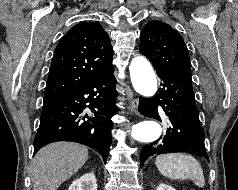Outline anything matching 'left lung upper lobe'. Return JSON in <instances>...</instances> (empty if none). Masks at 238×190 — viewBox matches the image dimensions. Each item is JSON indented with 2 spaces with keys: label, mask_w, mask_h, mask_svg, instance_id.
<instances>
[{
  "label": "left lung upper lobe",
  "mask_w": 238,
  "mask_h": 190,
  "mask_svg": "<svg viewBox=\"0 0 238 190\" xmlns=\"http://www.w3.org/2000/svg\"><path fill=\"white\" fill-rule=\"evenodd\" d=\"M140 52L155 69L191 77L188 49L181 35L164 22L150 21L146 24L140 34Z\"/></svg>",
  "instance_id": "left-lung-upper-lobe-1"
}]
</instances>
